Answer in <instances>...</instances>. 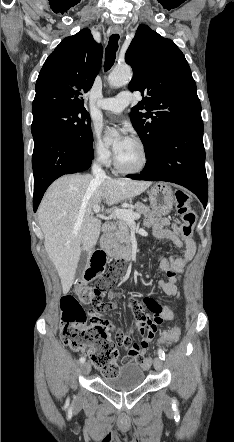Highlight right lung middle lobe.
Listing matches in <instances>:
<instances>
[{
  "label": "right lung middle lobe",
  "instance_id": "obj_1",
  "mask_svg": "<svg viewBox=\"0 0 234 442\" xmlns=\"http://www.w3.org/2000/svg\"><path fill=\"white\" fill-rule=\"evenodd\" d=\"M31 131L32 135L60 133L85 146L92 145L90 115L85 108L55 109L35 115Z\"/></svg>",
  "mask_w": 234,
  "mask_h": 442
}]
</instances>
